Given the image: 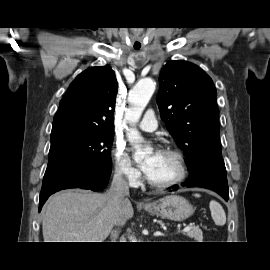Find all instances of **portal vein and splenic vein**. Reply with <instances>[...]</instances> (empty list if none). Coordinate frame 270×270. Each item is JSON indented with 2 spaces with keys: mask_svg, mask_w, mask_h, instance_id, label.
I'll list each match as a JSON object with an SVG mask.
<instances>
[{
  "mask_svg": "<svg viewBox=\"0 0 270 270\" xmlns=\"http://www.w3.org/2000/svg\"><path fill=\"white\" fill-rule=\"evenodd\" d=\"M190 229H191V226H190V225H186V226L184 227V229L182 230V232H187V231H189ZM154 236H155V237H158V236H165V234L162 233V232H160V231H156V232L154 233ZM129 239L131 240V242H136V241H135L136 238H135L134 236H130Z\"/></svg>",
  "mask_w": 270,
  "mask_h": 270,
  "instance_id": "18ae733b",
  "label": "portal vein and splenic vein"
}]
</instances>
